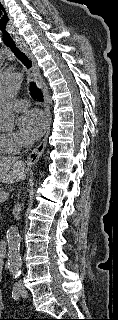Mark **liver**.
Here are the masks:
<instances>
[{
    "mask_svg": "<svg viewBox=\"0 0 118 320\" xmlns=\"http://www.w3.org/2000/svg\"><path fill=\"white\" fill-rule=\"evenodd\" d=\"M26 179L25 164L16 157L0 156V182L13 184Z\"/></svg>",
    "mask_w": 118,
    "mask_h": 320,
    "instance_id": "liver-1",
    "label": "liver"
}]
</instances>
